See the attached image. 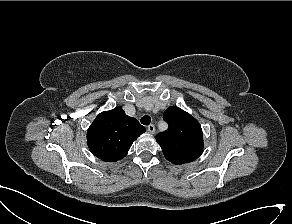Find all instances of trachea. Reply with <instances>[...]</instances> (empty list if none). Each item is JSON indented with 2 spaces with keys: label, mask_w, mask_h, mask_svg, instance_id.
Here are the masks:
<instances>
[{
  "label": "trachea",
  "mask_w": 292,
  "mask_h": 224,
  "mask_svg": "<svg viewBox=\"0 0 292 224\" xmlns=\"http://www.w3.org/2000/svg\"><path fill=\"white\" fill-rule=\"evenodd\" d=\"M150 122H151V118H150V116H148V115H145V116H143V117L141 118V123H142L143 125H149Z\"/></svg>",
  "instance_id": "1"
}]
</instances>
